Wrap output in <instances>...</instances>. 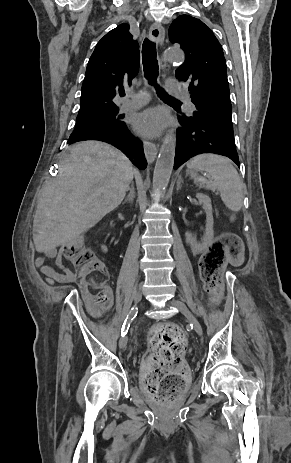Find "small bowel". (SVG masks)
Listing matches in <instances>:
<instances>
[{
	"label": "small bowel",
	"mask_w": 291,
	"mask_h": 463,
	"mask_svg": "<svg viewBox=\"0 0 291 463\" xmlns=\"http://www.w3.org/2000/svg\"><path fill=\"white\" fill-rule=\"evenodd\" d=\"M44 252L47 257L54 258L55 266L60 270L56 271L54 268L44 265V258L37 259L36 264L41 267L43 274L46 276V281L49 284H54L55 282L70 283L75 280L74 273L65 266L60 251L56 252L54 249L47 248ZM106 289L110 291L108 287H106Z\"/></svg>",
	"instance_id": "obj_1"
}]
</instances>
